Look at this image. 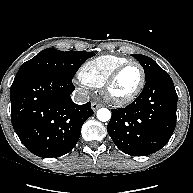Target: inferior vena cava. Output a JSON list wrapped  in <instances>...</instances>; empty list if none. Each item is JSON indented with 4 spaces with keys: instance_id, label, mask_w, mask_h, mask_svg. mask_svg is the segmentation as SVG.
<instances>
[{
    "instance_id": "602c4592",
    "label": "inferior vena cava",
    "mask_w": 193,
    "mask_h": 193,
    "mask_svg": "<svg viewBox=\"0 0 193 193\" xmlns=\"http://www.w3.org/2000/svg\"><path fill=\"white\" fill-rule=\"evenodd\" d=\"M72 100L77 104H84L89 101V95L86 91L78 88L73 92Z\"/></svg>"
}]
</instances>
